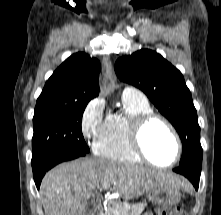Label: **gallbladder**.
I'll use <instances>...</instances> for the list:
<instances>
[{"instance_id": "bac80fb5", "label": "gallbladder", "mask_w": 221, "mask_h": 215, "mask_svg": "<svg viewBox=\"0 0 221 215\" xmlns=\"http://www.w3.org/2000/svg\"><path fill=\"white\" fill-rule=\"evenodd\" d=\"M93 208H94V203H89L86 210L84 211L83 215H92L93 212Z\"/></svg>"}]
</instances>
